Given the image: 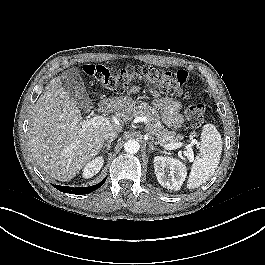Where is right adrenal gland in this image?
I'll return each instance as SVG.
<instances>
[{
	"instance_id": "right-adrenal-gland-1",
	"label": "right adrenal gland",
	"mask_w": 265,
	"mask_h": 265,
	"mask_svg": "<svg viewBox=\"0 0 265 265\" xmlns=\"http://www.w3.org/2000/svg\"><path fill=\"white\" fill-rule=\"evenodd\" d=\"M112 141H113V140H108V141L104 144V146L102 147V151L106 148V149H107V152H108V150H110V148H111V143H112Z\"/></svg>"
}]
</instances>
